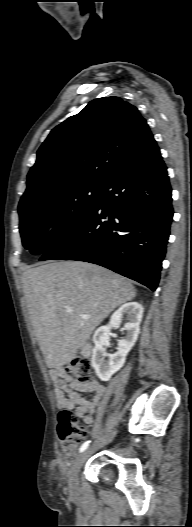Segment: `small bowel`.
<instances>
[{
  "mask_svg": "<svg viewBox=\"0 0 192 527\" xmlns=\"http://www.w3.org/2000/svg\"><path fill=\"white\" fill-rule=\"evenodd\" d=\"M51 375L60 391L58 405L61 408L74 409L76 416L82 418L85 424L92 425L96 407L105 393L104 386L96 380L81 383L73 379L61 368L52 370ZM86 392L93 394L91 400H87L82 396V393Z\"/></svg>",
  "mask_w": 192,
  "mask_h": 527,
  "instance_id": "c3829d8e",
  "label": "small bowel"
}]
</instances>
